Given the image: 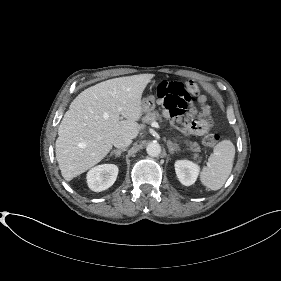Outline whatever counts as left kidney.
<instances>
[{"label":"left kidney","mask_w":281,"mask_h":281,"mask_svg":"<svg viewBox=\"0 0 281 281\" xmlns=\"http://www.w3.org/2000/svg\"><path fill=\"white\" fill-rule=\"evenodd\" d=\"M199 166L189 160H177L175 162V172L179 181L190 186L194 184L199 174Z\"/></svg>","instance_id":"1"}]
</instances>
